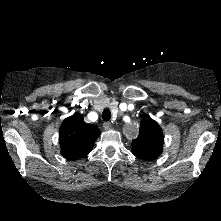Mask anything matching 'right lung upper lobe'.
Returning <instances> with one entry per match:
<instances>
[{"mask_svg":"<svg viewBox=\"0 0 221 221\" xmlns=\"http://www.w3.org/2000/svg\"><path fill=\"white\" fill-rule=\"evenodd\" d=\"M99 135L100 130L95 125L85 123L83 117L75 113L60 127L61 154L66 159H80L91 152Z\"/></svg>","mask_w":221,"mask_h":221,"instance_id":"obj_1","label":"right lung upper lobe"}]
</instances>
